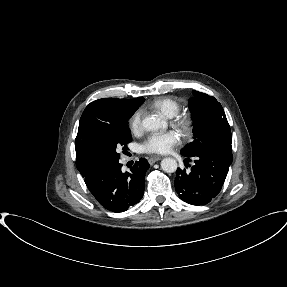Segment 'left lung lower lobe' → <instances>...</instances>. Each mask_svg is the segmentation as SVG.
Segmentation results:
<instances>
[{"label": "left lung lower lobe", "mask_w": 287, "mask_h": 287, "mask_svg": "<svg viewBox=\"0 0 287 287\" xmlns=\"http://www.w3.org/2000/svg\"><path fill=\"white\" fill-rule=\"evenodd\" d=\"M187 157H193L195 165L187 172L177 169L175 189L183 201L192 205H205L222 188L232 163V146L219 145Z\"/></svg>", "instance_id": "0a47b994"}]
</instances>
